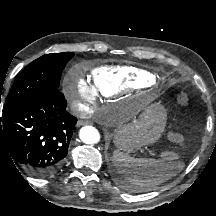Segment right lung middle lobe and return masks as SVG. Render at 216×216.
<instances>
[{"mask_svg":"<svg viewBox=\"0 0 216 216\" xmlns=\"http://www.w3.org/2000/svg\"><path fill=\"white\" fill-rule=\"evenodd\" d=\"M73 55L70 52L46 54L27 65L15 80L3 112L10 111L36 97L58 92L62 71Z\"/></svg>","mask_w":216,"mask_h":216,"instance_id":"right-lung-middle-lobe-1","label":"right lung middle lobe"}]
</instances>
